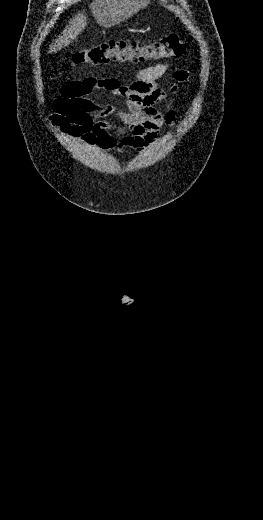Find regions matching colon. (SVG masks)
<instances>
[{
    "instance_id": "5ec220e1",
    "label": "colon",
    "mask_w": 263,
    "mask_h": 520,
    "mask_svg": "<svg viewBox=\"0 0 263 520\" xmlns=\"http://www.w3.org/2000/svg\"><path fill=\"white\" fill-rule=\"evenodd\" d=\"M187 42L177 33L162 39L144 43L139 40H109L76 51L72 56L75 64L97 65L116 62H145L182 56Z\"/></svg>"
}]
</instances>
